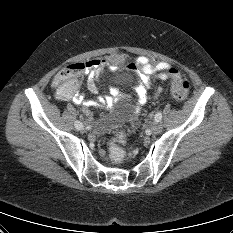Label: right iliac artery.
I'll list each match as a JSON object with an SVG mask.
<instances>
[{
  "instance_id": "right-iliac-artery-1",
  "label": "right iliac artery",
  "mask_w": 233,
  "mask_h": 233,
  "mask_svg": "<svg viewBox=\"0 0 233 233\" xmlns=\"http://www.w3.org/2000/svg\"><path fill=\"white\" fill-rule=\"evenodd\" d=\"M74 125H75V128L78 129V130H79V128H80L81 126H83L82 123H81L80 121H75V124H74Z\"/></svg>"
}]
</instances>
